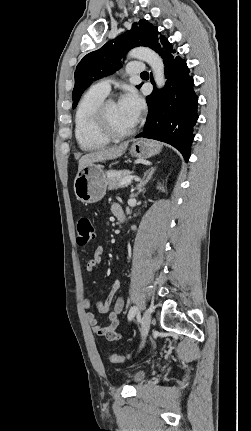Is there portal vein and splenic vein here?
I'll use <instances>...</instances> for the list:
<instances>
[{
    "instance_id": "portal-vein-and-splenic-vein-1",
    "label": "portal vein and splenic vein",
    "mask_w": 251,
    "mask_h": 431,
    "mask_svg": "<svg viewBox=\"0 0 251 431\" xmlns=\"http://www.w3.org/2000/svg\"><path fill=\"white\" fill-rule=\"evenodd\" d=\"M134 176H127L120 181V185H125L133 180Z\"/></svg>"
}]
</instances>
